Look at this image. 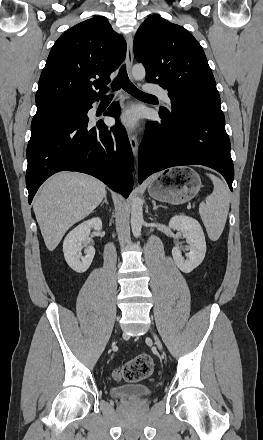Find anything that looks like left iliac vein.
I'll list each match as a JSON object with an SVG mask.
<instances>
[{
	"label": "left iliac vein",
	"instance_id": "obj_1",
	"mask_svg": "<svg viewBox=\"0 0 263 440\" xmlns=\"http://www.w3.org/2000/svg\"><path fill=\"white\" fill-rule=\"evenodd\" d=\"M154 339H155V344L161 350L162 349V344H161L160 340L158 339V337L156 335H154Z\"/></svg>",
	"mask_w": 263,
	"mask_h": 440
}]
</instances>
